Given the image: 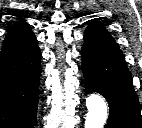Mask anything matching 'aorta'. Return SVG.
I'll use <instances>...</instances> for the list:
<instances>
[{"label":"aorta","instance_id":"1","mask_svg":"<svg viewBox=\"0 0 142 128\" xmlns=\"http://www.w3.org/2000/svg\"><path fill=\"white\" fill-rule=\"evenodd\" d=\"M88 113L85 128H103L107 119V104L99 94H91L86 98Z\"/></svg>","mask_w":142,"mask_h":128}]
</instances>
